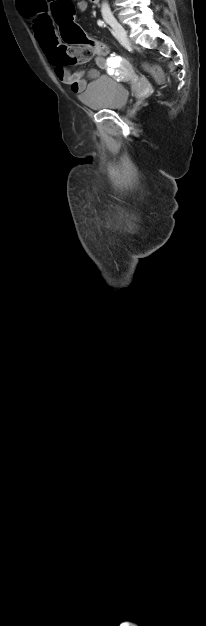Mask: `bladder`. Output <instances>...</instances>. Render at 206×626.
<instances>
[{
    "label": "bladder",
    "mask_w": 206,
    "mask_h": 626,
    "mask_svg": "<svg viewBox=\"0 0 206 626\" xmlns=\"http://www.w3.org/2000/svg\"><path fill=\"white\" fill-rule=\"evenodd\" d=\"M129 99L126 87L109 76H100L90 82L80 95V101L89 108L114 110L123 108Z\"/></svg>",
    "instance_id": "1"
}]
</instances>
